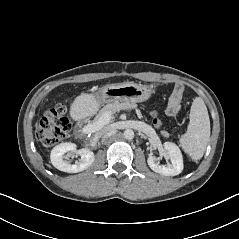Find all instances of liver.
I'll return each mask as SVG.
<instances>
[{"label": "liver", "instance_id": "obj_1", "mask_svg": "<svg viewBox=\"0 0 239 239\" xmlns=\"http://www.w3.org/2000/svg\"><path fill=\"white\" fill-rule=\"evenodd\" d=\"M103 103L93 93H82L75 98L70 106V116L75 121L92 117L99 111ZM53 123V120H49Z\"/></svg>", "mask_w": 239, "mask_h": 239}]
</instances>
